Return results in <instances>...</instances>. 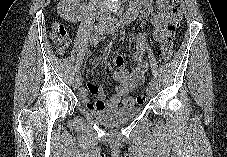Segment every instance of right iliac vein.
Segmentation results:
<instances>
[{"mask_svg": "<svg viewBox=\"0 0 227 157\" xmlns=\"http://www.w3.org/2000/svg\"><path fill=\"white\" fill-rule=\"evenodd\" d=\"M81 77L79 75H76L75 79L73 80V87L79 88L81 85Z\"/></svg>", "mask_w": 227, "mask_h": 157, "instance_id": "1", "label": "right iliac vein"}]
</instances>
